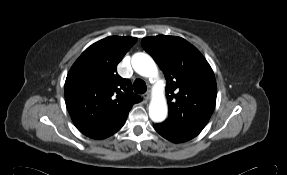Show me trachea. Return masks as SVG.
I'll return each mask as SVG.
<instances>
[{"mask_svg":"<svg viewBox=\"0 0 287 175\" xmlns=\"http://www.w3.org/2000/svg\"><path fill=\"white\" fill-rule=\"evenodd\" d=\"M147 90L146 83L142 79H136L134 81V91L138 94H143Z\"/></svg>","mask_w":287,"mask_h":175,"instance_id":"1","label":"trachea"}]
</instances>
